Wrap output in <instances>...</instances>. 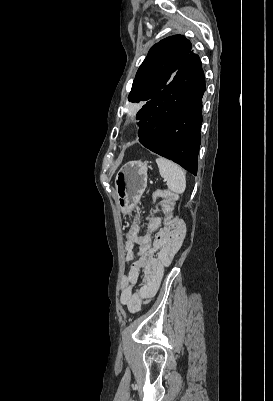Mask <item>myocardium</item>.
Listing matches in <instances>:
<instances>
[{
    "label": "myocardium",
    "instance_id": "obj_1",
    "mask_svg": "<svg viewBox=\"0 0 273 401\" xmlns=\"http://www.w3.org/2000/svg\"><path fill=\"white\" fill-rule=\"evenodd\" d=\"M139 133V126L133 121H127L121 128L122 137L127 140H133Z\"/></svg>",
    "mask_w": 273,
    "mask_h": 401
}]
</instances>
